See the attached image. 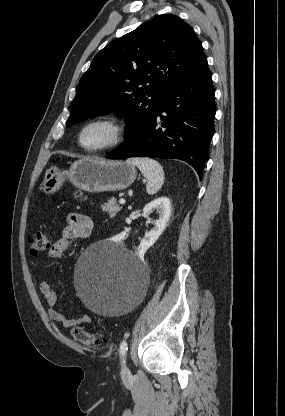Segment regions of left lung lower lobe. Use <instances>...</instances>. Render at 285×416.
Wrapping results in <instances>:
<instances>
[{"instance_id":"0a47b994","label":"left lung lower lobe","mask_w":285,"mask_h":416,"mask_svg":"<svg viewBox=\"0 0 285 416\" xmlns=\"http://www.w3.org/2000/svg\"><path fill=\"white\" fill-rule=\"evenodd\" d=\"M215 92L205 56L164 98L150 119L110 152L108 159H180L202 178L215 116ZM166 113L165 116L161 113ZM160 116L162 128H157Z\"/></svg>"}]
</instances>
